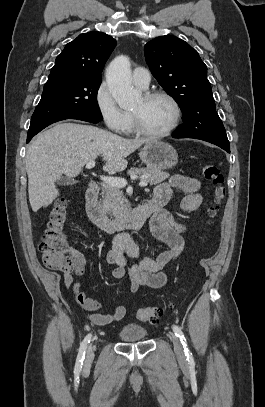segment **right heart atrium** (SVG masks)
<instances>
[{
  "label": "right heart atrium",
  "instance_id": "right-heart-atrium-1",
  "mask_svg": "<svg viewBox=\"0 0 265 407\" xmlns=\"http://www.w3.org/2000/svg\"><path fill=\"white\" fill-rule=\"evenodd\" d=\"M94 98L105 125L114 132L123 133L128 124V114L119 108L105 81L98 85Z\"/></svg>",
  "mask_w": 265,
  "mask_h": 407
}]
</instances>
